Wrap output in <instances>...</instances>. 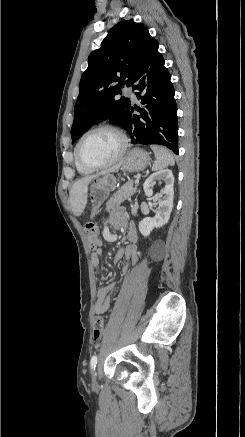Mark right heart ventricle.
<instances>
[{
	"instance_id": "e07e8e85",
	"label": "right heart ventricle",
	"mask_w": 245,
	"mask_h": 437,
	"mask_svg": "<svg viewBox=\"0 0 245 437\" xmlns=\"http://www.w3.org/2000/svg\"><path fill=\"white\" fill-rule=\"evenodd\" d=\"M75 167L77 169V171L82 174V175H88L91 174L94 170L88 167H85L84 165H82L79 160L77 159V156L75 154Z\"/></svg>"
}]
</instances>
